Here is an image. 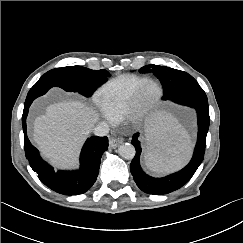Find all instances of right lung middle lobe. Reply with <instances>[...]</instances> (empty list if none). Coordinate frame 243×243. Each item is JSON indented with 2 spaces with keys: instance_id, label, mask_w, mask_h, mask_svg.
Instances as JSON below:
<instances>
[{
  "instance_id": "obj_1",
  "label": "right lung middle lobe",
  "mask_w": 243,
  "mask_h": 243,
  "mask_svg": "<svg viewBox=\"0 0 243 243\" xmlns=\"http://www.w3.org/2000/svg\"><path fill=\"white\" fill-rule=\"evenodd\" d=\"M109 75L106 70H91L82 66L56 68L45 73L33 88L60 87L90 97Z\"/></svg>"
}]
</instances>
